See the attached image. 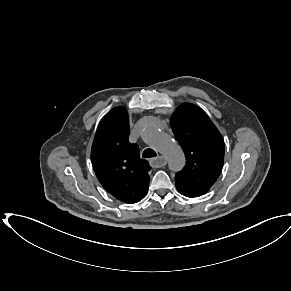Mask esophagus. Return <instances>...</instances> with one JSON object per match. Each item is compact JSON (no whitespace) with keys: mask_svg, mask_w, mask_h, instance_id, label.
<instances>
[{"mask_svg":"<svg viewBox=\"0 0 291 291\" xmlns=\"http://www.w3.org/2000/svg\"><path fill=\"white\" fill-rule=\"evenodd\" d=\"M167 164V159L164 156H157L150 160V165L154 168H160Z\"/></svg>","mask_w":291,"mask_h":291,"instance_id":"1","label":"esophagus"}]
</instances>
